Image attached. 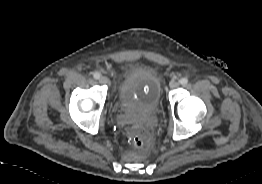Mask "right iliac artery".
Here are the masks:
<instances>
[{"label": "right iliac artery", "instance_id": "1", "mask_svg": "<svg viewBox=\"0 0 262 184\" xmlns=\"http://www.w3.org/2000/svg\"><path fill=\"white\" fill-rule=\"evenodd\" d=\"M100 73H98V72H95L94 74H93V77L95 78V79H99L100 78Z\"/></svg>", "mask_w": 262, "mask_h": 184}]
</instances>
